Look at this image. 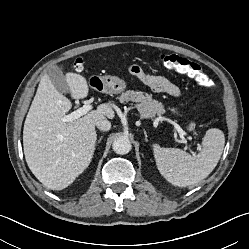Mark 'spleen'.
<instances>
[{
  "mask_svg": "<svg viewBox=\"0 0 249 249\" xmlns=\"http://www.w3.org/2000/svg\"><path fill=\"white\" fill-rule=\"evenodd\" d=\"M225 145L224 133L217 128L206 131L202 149L190 155L177 148L153 145L154 158L161 175L172 185L185 187L206 178L216 167Z\"/></svg>",
  "mask_w": 249,
  "mask_h": 249,
  "instance_id": "1",
  "label": "spleen"
}]
</instances>
